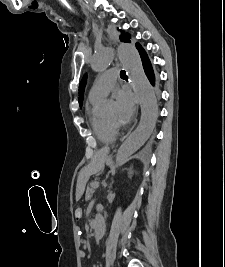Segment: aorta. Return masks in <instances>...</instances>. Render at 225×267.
I'll return each mask as SVG.
<instances>
[{"instance_id":"1","label":"aorta","mask_w":225,"mask_h":267,"mask_svg":"<svg viewBox=\"0 0 225 267\" xmlns=\"http://www.w3.org/2000/svg\"><path fill=\"white\" fill-rule=\"evenodd\" d=\"M118 57L128 73L134 92L139 98L141 119L136 130L125 140L116 155V164L121 165L134 154L149 138L158 118V105L152 87L145 75L140 55L132 44L119 45ZM113 53L110 47L98 50L91 60V67L96 72H103L112 63ZM105 232L104 218L96 216L95 238L100 240Z\"/></svg>"}]
</instances>
